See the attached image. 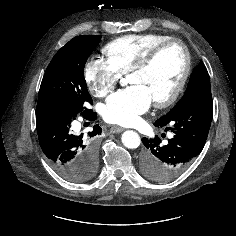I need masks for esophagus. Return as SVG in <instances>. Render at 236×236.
<instances>
[{
	"instance_id": "obj_1",
	"label": "esophagus",
	"mask_w": 236,
	"mask_h": 236,
	"mask_svg": "<svg viewBox=\"0 0 236 236\" xmlns=\"http://www.w3.org/2000/svg\"><path fill=\"white\" fill-rule=\"evenodd\" d=\"M122 131H124V128L117 125H114L110 128L111 133H121Z\"/></svg>"
}]
</instances>
